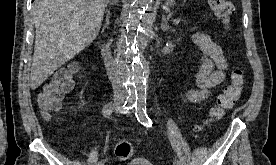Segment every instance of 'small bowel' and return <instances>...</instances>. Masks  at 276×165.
<instances>
[{
    "instance_id": "c3829d8e",
    "label": "small bowel",
    "mask_w": 276,
    "mask_h": 165,
    "mask_svg": "<svg viewBox=\"0 0 276 165\" xmlns=\"http://www.w3.org/2000/svg\"><path fill=\"white\" fill-rule=\"evenodd\" d=\"M193 42L201 52V65L195 75L199 89L186 91L184 98L191 103H200L208 99L213 88L225 80L228 63L221 47L208 35L195 34Z\"/></svg>"
}]
</instances>
